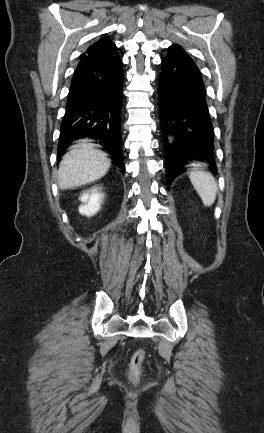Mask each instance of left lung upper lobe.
I'll use <instances>...</instances> for the list:
<instances>
[{
	"mask_svg": "<svg viewBox=\"0 0 264 433\" xmlns=\"http://www.w3.org/2000/svg\"><path fill=\"white\" fill-rule=\"evenodd\" d=\"M169 50H181V48L178 45H172L169 47Z\"/></svg>",
	"mask_w": 264,
	"mask_h": 433,
	"instance_id": "5c2ea615",
	"label": "left lung upper lobe"
}]
</instances>
